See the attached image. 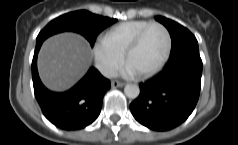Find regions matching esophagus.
<instances>
[{"mask_svg":"<svg viewBox=\"0 0 238 145\" xmlns=\"http://www.w3.org/2000/svg\"><path fill=\"white\" fill-rule=\"evenodd\" d=\"M112 87H123L125 83L119 82V81H112L111 82Z\"/></svg>","mask_w":238,"mask_h":145,"instance_id":"esophagus-1","label":"esophagus"}]
</instances>
